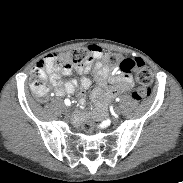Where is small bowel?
I'll return each instance as SVG.
<instances>
[{"label": "small bowel", "mask_w": 183, "mask_h": 183, "mask_svg": "<svg viewBox=\"0 0 183 183\" xmlns=\"http://www.w3.org/2000/svg\"><path fill=\"white\" fill-rule=\"evenodd\" d=\"M88 49L90 50L93 59L92 68L95 72V79L98 84L93 92V97L95 99L103 95L105 100H109L118 94L129 91L133 87L134 81L131 74H113L110 72L109 68L104 64L103 51L99 46L90 45ZM55 61L56 57L53 55L48 56L45 60L46 72L49 73L50 81L56 87L57 93L60 95L64 93L73 94L78 91V102L80 105H83L85 103V91L91 86V80L86 76L90 69V65L76 67L78 73L85 74L80 81L69 79L64 85H61V74L69 76L71 75L72 70L71 68H63L60 65H57ZM107 124V121H102L99 126L105 127Z\"/></svg>", "instance_id": "c3829d8e"}]
</instances>
